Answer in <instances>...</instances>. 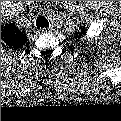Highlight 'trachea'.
<instances>
[{
    "label": "trachea",
    "instance_id": "trachea-1",
    "mask_svg": "<svg viewBox=\"0 0 121 121\" xmlns=\"http://www.w3.org/2000/svg\"><path fill=\"white\" fill-rule=\"evenodd\" d=\"M36 26L38 28L40 27H48L49 26V22L48 20L44 17V16H39L36 20Z\"/></svg>",
    "mask_w": 121,
    "mask_h": 121
}]
</instances>
